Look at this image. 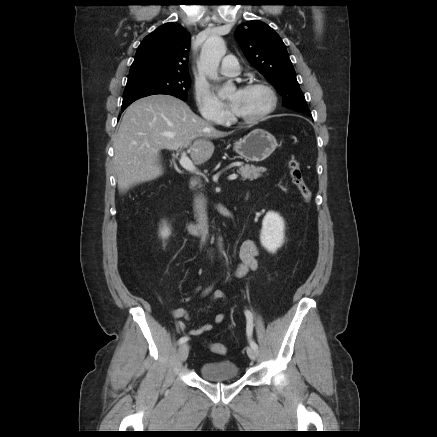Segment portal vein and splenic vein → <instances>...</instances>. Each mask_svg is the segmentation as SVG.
Returning a JSON list of instances; mask_svg holds the SVG:
<instances>
[{
	"mask_svg": "<svg viewBox=\"0 0 437 437\" xmlns=\"http://www.w3.org/2000/svg\"><path fill=\"white\" fill-rule=\"evenodd\" d=\"M180 165L189 172H196L197 168L194 166L193 162L187 157V154L183 152L180 158ZM229 180L237 179V174H232L228 177Z\"/></svg>",
	"mask_w": 437,
	"mask_h": 437,
	"instance_id": "obj_1",
	"label": "portal vein and splenic vein"
}]
</instances>
